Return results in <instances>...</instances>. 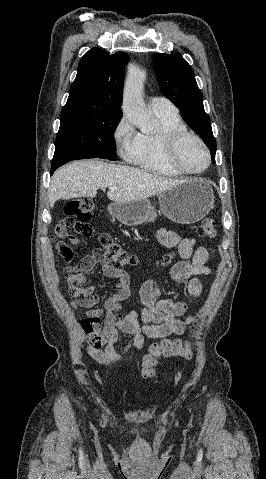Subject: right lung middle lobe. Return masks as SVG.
Returning <instances> with one entry per match:
<instances>
[{"mask_svg": "<svg viewBox=\"0 0 266 479\" xmlns=\"http://www.w3.org/2000/svg\"><path fill=\"white\" fill-rule=\"evenodd\" d=\"M122 115H61L53 159L103 158L116 160L114 131Z\"/></svg>", "mask_w": 266, "mask_h": 479, "instance_id": "obj_1", "label": "right lung middle lobe"}]
</instances>
